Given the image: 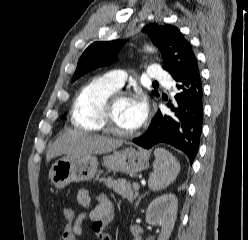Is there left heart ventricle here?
<instances>
[{
  "mask_svg": "<svg viewBox=\"0 0 248 240\" xmlns=\"http://www.w3.org/2000/svg\"><path fill=\"white\" fill-rule=\"evenodd\" d=\"M131 104V98L122 97L117 99L112 106V120L119 130L130 131L136 128L130 118Z\"/></svg>",
  "mask_w": 248,
  "mask_h": 240,
  "instance_id": "obj_1",
  "label": "left heart ventricle"
}]
</instances>
